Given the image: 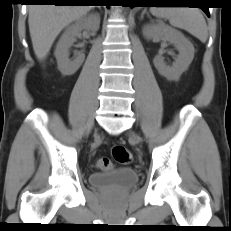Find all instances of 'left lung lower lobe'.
Listing matches in <instances>:
<instances>
[{
    "mask_svg": "<svg viewBox=\"0 0 231 231\" xmlns=\"http://www.w3.org/2000/svg\"><path fill=\"white\" fill-rule=\"evenodd\" d=\"M132 2L134 4H136V6H152V4H156V3H160L158 2V0H132ZM204 5V4H203ZM201 9H203V11L210 16L209 14V8L208 7H201Z\"/></svg>",
    "mask_w": 231,
    "mask_h": 231,
    "instance_id": "obj_1",
    "label": "left lung lower lobe"
}]
</instances>
